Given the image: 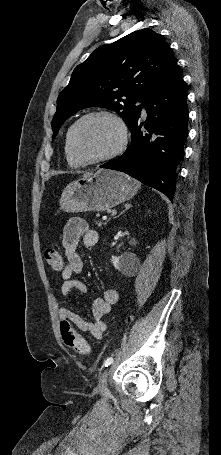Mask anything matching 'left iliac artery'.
Returning <instances> with one entry per match:
<instances>
[{
	"instance_id": "1",
	"label": "left iliac artery",
	"mask_w": 221,
	"mask_h": 455,
	"mask_svg": "<svg viewBox=\"0 0 221 455\" xmlns=\"http://www.w3.org/2000/svg\"><path fill=\"white\" fill-rule=\"evenodd\" d=\"M113 361H114V360H113L112 357L107 358V359L105 360V362H104V366H105V367H108L109 365H111V364L113 363Z\"/></svg>"
}]
</instances>
